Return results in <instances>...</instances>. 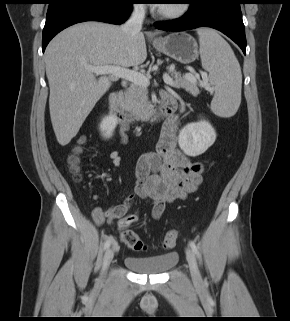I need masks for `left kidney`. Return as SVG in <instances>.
I'll return each instance as SVG.
<instances>
[{"instance_id": "5707ae66", "label": "left kidney", "mask_w": 290, "mask_h": 321, "mask_svg": "<svg viewBox=\"0 0 290 321\" xmlns=\"http://www.w3.org/2000/svg\"><path fill=\"white\" fill-rule=\"evenodd\" d=\"M216 140V132L205 120L185 125L178 136L181 150L188 156L203 154Z\"/></svg>"}]
</instances>
